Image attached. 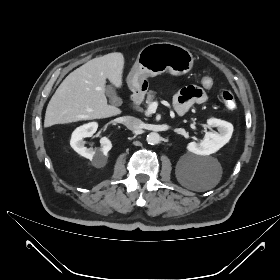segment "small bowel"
<instances>
[{
  "instance_id": "c3829d8e",
  "label": "small bowel",
  "mask_w": 280,
  "mask_h": 280,
  "mask_svg": "<svg viewBox=\"0 0 280 280\" xmlns=\"http://www.w3.org/2000/svg\"><path fill=\"white\" fill-rule=\"evenodd\" d=\"M208 100L206 91L199 87L189 86L174 98V107L178 114L186 113L193 105L203 104Z\"/></svg>"
}]
</instances>
